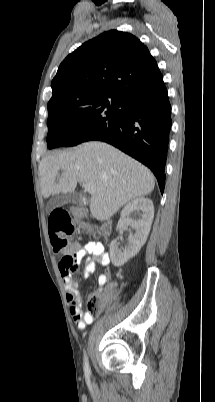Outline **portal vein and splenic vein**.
<instances>
[{
  "label": "portal vein and splenic vein",
  "instance_id": "18ae733b",
  "mask_svg": "<svg viewBox=\"0 0 215 402\" xmlns=\"http://www.w3.org/2000/svg\"><path fill=\"white\" fill-rule=\"evenodd\" d=\"M83 187L84 190L90 194H94L96 191L95 186L91 183H85Z\"/></svg>",
  "mask_w": 215,
  "mask_h": 402
}]
</instances>
